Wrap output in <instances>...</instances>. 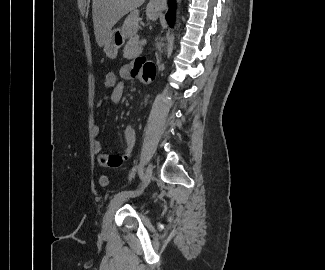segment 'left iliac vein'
<instances>
[{
	"label": "left iliac vein",
	"instance_id": "left-iliac-vein-1",
	"mask_svg": "<svg viewBox=\"0 0 325 270\" xmlns=\"http://www.w3.org/2000/svg\"><path fill=\"white\" fill-rule=\"evenodd\" d=\"M152 173H153V165L150 163L146 168V171L143 176L140 187L137 189V193L134 195H131V196H122V197L117 198L112 201V203L110 204L107 212L105 213L104 219H103V224H102V233L103 234L108 235L110 233L111 226H112V220H113L116 210L125 201H127L130 197H136V196L140 195L145 190V188L150 183V180L152 178Z\"/></svg>",
	"mask_w": 325,
	"mask_h": 270
}]
</instances>
